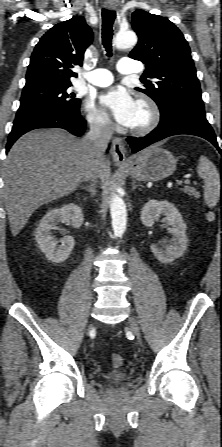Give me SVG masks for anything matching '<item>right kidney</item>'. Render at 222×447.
I'll return each instance as SVG.
<instances>
[{"mask_svg": "<svg viewBox=\"0 0 222 447\" xmlns=\"http://www.w3.org/2000/svg\"><path fill=\"white\" fill-rule=\"evenodd\" d=\"M66 221L70 222L74 228H79L84 221L82 209L72 203L51 209L41 219L35 232V239L41 251L53 263L64 262L75 245V240L71 236H66L59 241L52 236L51 231L56 229L60 222Z\"/></svg>", "mask_w": 222, "mask_h": 447, "instance_id": "1", "label": "right kidney"}]
</instances>
